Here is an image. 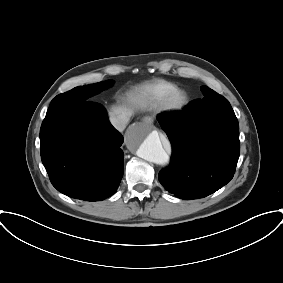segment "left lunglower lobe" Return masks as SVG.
Here are the masks:
<instances>
[{"label": "left lung lower lobe", "mask_w": 283, "mask_h": 283, "mask_svg": "<svg viewBox=\"0 0 283 283\" xmlns=\"http://www.w3.org/2000/svg\"><path fill=\"white\" fill-rule=\"evenodd\" d=\"M235 113L215 91L182 112L157 116L172 144L170 164L159 173L164 188L181 199L206 197L226 185L240 154L239 131L227 127Z\"/></svg>", "instance_id": "left-lung-lower-lobe-1"}]
</instances>
